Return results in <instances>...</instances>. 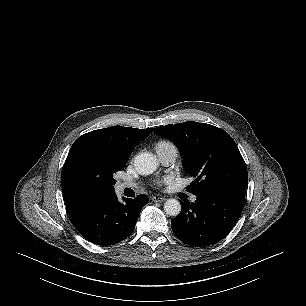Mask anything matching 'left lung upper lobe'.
<instances>
[{
  "mask_svg": "<svg viewBox=\"0 0 306 306\" xmlns=\"http://www.w3.org/2000/svg\"><path fill=\"white\" fill-rule=\"evenodd\" d=\"M154 132L174 142L182 153L185 170L196 178L187 187L188 192L245 198L247 167L227 132L192 121L158 127Z\"/></svg>",
  "mask_w": 306,
  "mask_h": 306,
  "instance_id": "obj_1",
  "label": "left lung upper lobe"
}]
</instances>
